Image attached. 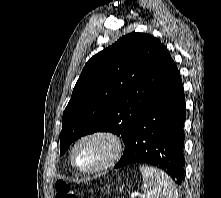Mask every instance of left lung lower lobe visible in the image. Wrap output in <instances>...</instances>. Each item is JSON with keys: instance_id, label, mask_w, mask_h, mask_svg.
Here are the masks:
<instances>
[{"instance_id": "0a47b994", "label": "left lung lower lobe", "mask_w": 221, "mask_h": 198, "mask_svg": "<svg viewBox=\"0 0 221 198\" xmlns=\"http://www.w3.org/2000/svg\"><path fill=\"white\" fill-rule=\"evenodd\" d=\"M185 95L175 63L158 94L152 99L125 144L116 168L148 163L164 169L181 184L184 177Z\"/></svg>"}]
</instances>
